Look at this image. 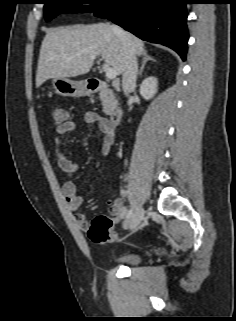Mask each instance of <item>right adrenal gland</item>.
I'll list each match as a JSON object with an SVG mask.
<instances>
[{
  "mask_svg": "<svg viewBox=\"0 0 236 321\" xmlns=\"http://www.w3.org/2000/svg\"><path fill=\"white\" fill-rule=\"evenodd\" d=\"M148 61L156 62V60L153 57H151L147 53H144L143 57H142V64H141V67H140V70H139V73H138V77L142 76V72H143V70L145 68V65H146V63Z\"/></svg>",
  "mask_w": 236,
  "mask_h": 321,
  "instance_id": "1",
  "label": "right adrenal gland"
}]
</instances>
